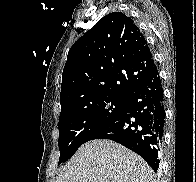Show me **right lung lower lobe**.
<instances>
[{
	"label": "right lung lower lobe",
	"mask_w": 196,
	"mask_h": 182,
	"mask_svg": "<svg viewBox=\"0 0 196 182\" xmlns=\"http://www.w3.org/2000/svg\"><path fill=\"white\" fill-rule=\"evenodd\" d=\"M165 125L164 95L157 67L130 92L123 111L90 140L110 139L139 154L156 171Z\"/></svg>",
	"instance_id": "obj_1"
}]
</instances>
